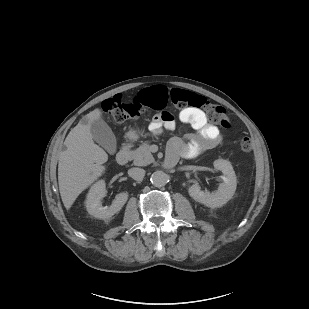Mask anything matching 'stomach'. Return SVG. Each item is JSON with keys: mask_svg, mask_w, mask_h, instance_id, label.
Segmentation results:
<instances>
[{"mask_svg": "<svg viewBox=\"0 0 309 309\" xmlns=\"http://www.w3.org/2000/svg\"><path fill=\"white\" fill-rule=\"evenodd\" d=\"M140 136V132L137 131V130H130L128 133H127V137L129 139H132V140H136L138 139Z\"/></svg>", "mask_w": 309, "mask_h": 309, "instance_id": "stomach-1", "label": "stomach"}]
</instances>
